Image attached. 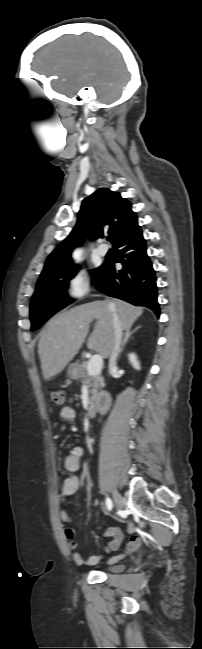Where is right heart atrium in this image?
Listing matches in <instances>:
<instances>
[{
  "label": "right heart atrium",
  "mask_w": 202,
  "mask_h": 649,
  "mask_svg": "<svg viewBox=\"0 0 202 649\" xmlns=\"http://www.w3.org/2000/svg\"><path fill=\"white\" fill-rule=\"evenodd\" d=\"M93 289L94 282L90 272L80 269L66 279L63 296L67 301H75L87 297Z\"/></svg>",
  "instance_id": "d8ad5b80"
}]
</instances>
